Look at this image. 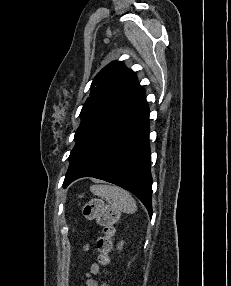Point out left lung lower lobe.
Segmentation results:
<instances>
[{"instance_id": "1", "label": "left lung lower lobe", "mask_w": 231, "mask_h": 286, "mask_svg": "<svg viewBox=\"0 0 231 286\" xmlns=\"http://www.w3.org/2000/svg\"><path fill=\"white\" fill-rule=\"evenodd\" d=\"M149 108L140 87L73 148L63 186L94 177L133 193L152 216Z\"/></svg>"}]
</instances>
